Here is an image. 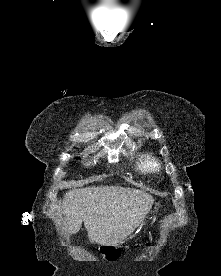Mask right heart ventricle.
Here are the masks:
<instances>
[{
  "instance_id": "1",
  "label": "right heart ventricle",
  "mask_w": 221,
  "mask_h": 276,
  "mask_svg": "<svg viewBox=\"0 0 221 276\" xmlns=\"http://www.w3.org/2000/svg\"><path fill=\"white\" fill-rule=\"evenodd\" d=\"M143 164L149 169H154L157 167V162L149 155H145L143 158Z\"/></svg>"
}]
</instances>
